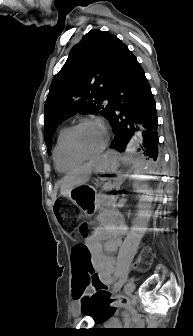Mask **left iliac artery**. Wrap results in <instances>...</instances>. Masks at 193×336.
<instances>
[{
  "mask_svg": "<svg viewBox=\"0 0 193 336\" xmlns=\"http://www.w3.org/2000/svg\"><path fill=\"white\" fill-rule=\"evenodd\" d=\"M122 284H123L122 280L118 281L114 286V291H118L121 288Z\"/></svg>",
  "mask_w": 193,
  "mask_h": 336,
  "instance_id": "1",
  "label": "left iliac artery"
}]
</instances>
